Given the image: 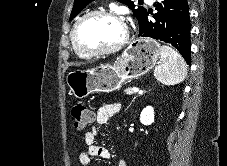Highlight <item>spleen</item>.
I'll use <instances>...</instances> for the list:
<instances>
[{"instance_id":"1","label":"spleen","mask_w":227,"mask_h":166,"mask_svg":"<svg viewBox=\"0 0 227 166\" xmlns=\"http://www.w3.org/2000/svg\"><path fill=\"white\" fill-rule=\"evenodd\" d=\"M187 65L183 57L172 47L163 45L160 62L154 70L155 78L164 85H175L184 81Z\"/></svg>"}]
</instances>
